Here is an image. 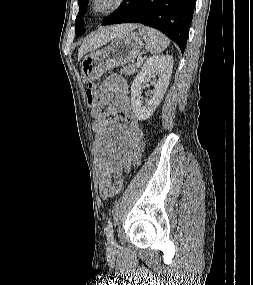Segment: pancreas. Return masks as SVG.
I'll use <instances>...</instances> for the list:
<instances>
[{
    "label": "pancreas",
    "instance_id": "cf45deb5",
    "mask_svg": "<svg viewBox=\"0 0 253 285\" xmlns=\"http://www.w3.org/2000/svg\"><path fill=\"white\" fill-rule=\"evenodd\" d=\"M137 69H138V66H135V65L126 66V67H123L120 70V72H121V74H124V75H132V74L137 72Z\"/></svg>",
    "mask_w": 253,
    "mask_h": 285
}]
</instances>
